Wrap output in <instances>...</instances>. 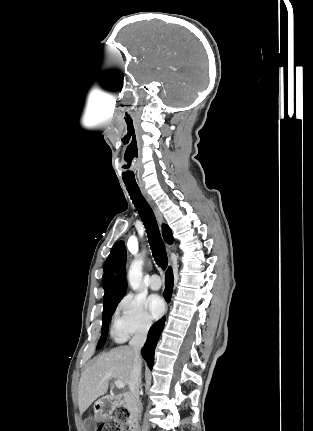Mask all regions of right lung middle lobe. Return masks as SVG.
<instances>
[{
  "label": "right lung middle lobe",
  "instance_id": "1",
  "mask_svg": "<svg viewBox=\"0 0 313 431\" xmlns=\"http://www.w3.org/2000/svg\"><path fill=\"white\" fill-rule=\"evenodd\" d=\"M121 299L114 301L110 304L104 305V309H103V323H102V334H101V338L97 344L96 349L101 348L106 340L107 337V331H108V327H109V322L111 319L112 314L114 313L118 303L120 302Z\"/></svg>",
  "mask_w": 313,
  "mask_h": 431
}]
</instances>
